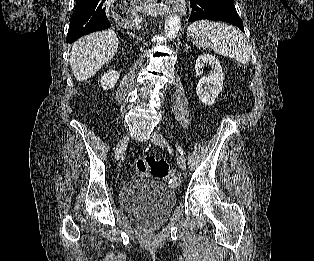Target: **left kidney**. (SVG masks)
Listing matches in <instances>:
<instances>
[{
  "mask_svg": "<svg viewBox=\"0 0 314 261\" xmlns=\"http://www.w3.org/2000/svg\"><path fill=\"white\" fill-rule=\"evenodd\" d=\"M205 64L211 65L212 71L209 76L200 78L196 93L200 102L212 106L222 91L224 75L220 62L208 53L200 55L196 60L195 71L198 75L203 73Z\"/></svg>",
  "mask_w": 314,
  "mask_h": 261,
  "instance_id": "left-kidney-1",
  "label": "left kidney"
}]
</instances>
